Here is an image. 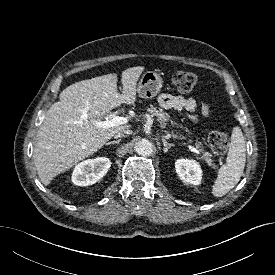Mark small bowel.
<instances>
[{
    "instance_id": "c3829d8e",
    "label": "small bowel",
    "mask_w": 275,
    "mask_h": 275,
    "mask_svg": "<svg viewBox=\"0 0 275 275\" xmlns=\"http://www.w3.org/2000/svg\"><path fill=\"white\" fill-rule=\"evenodd\" d=\"M158 103L165 109H174L177 111L186 112L187 117L193 121L198 120V116L195 114L198 109H200L201 117H208L210 113L207 104H198V102L193 98H185L182 96L164 93L158 97Z\"/></svg>"
}]
</instances>
